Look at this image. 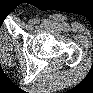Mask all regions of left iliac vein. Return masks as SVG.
<instances>
[{
    "label": "left iliac vein",
    "instance_id": "1",
    "mask_svg": "<svg viewBox=\"0 0 93 93\" xmlns=\"http://www.w3.org/2000/svg\"><path fill=\"white\" fill-rule=\"evenodd\" d=\"M34 23H35V21H34L33 19H30V20H29V24L32 25V24H34Z\"/></svg>",
    "mask_w": 93,
    "mask_h": 93
}]
</instances>
